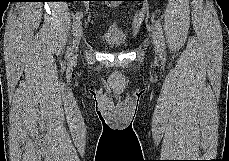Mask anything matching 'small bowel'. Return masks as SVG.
<instances>
[{
	"mask_svg": "<svg viewBox=\"0 0 229 161\" xmlns=\"http://www.w3.org/2000/svg\"><path fill=\"white\" fill-rule=\"evenodd\" d=\"M115 1H106L107 6H113Z\"/></svg>",
	"mask_w": 229,
	"mask_h": 161,
	"instance_id": "1",
	"label": "small bowel"
}]
</instances>
